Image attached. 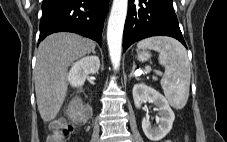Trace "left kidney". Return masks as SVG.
<instances>
[{"label":"left kidney","mask_w":227,"mask_h":142,"mask_svg":"<svg viewBox=\"0 0 227 142\" xmlns=\"http://www.w3.org/2000/svg\"><path fill=\"white\" fill-rule=\"evenodd\" d=\"M132 92L136 108H141V105L146 101H150L158 107L160 114L159 121L157 122L158 126L152 127L149 118L144 117L142 129L146 137L153 142L163 139L171 130L175 119V114L168 101L161 93L145 84H135Z\"/></svg>","instance_id":"1"}]
</instances>
